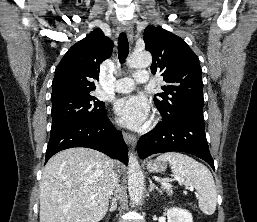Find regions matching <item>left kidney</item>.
I'll return each instance as SVG.
<instances>
[{
  "instance_id": "left-kidney-1",
  "label": "left kidney",
  "mask_w": 257,
  "mask_h": 222,
  "mask_svg": "<svg viewBox=\"0 0 257 222\" xmlns=\"http://www.w3.org/2000/svg\"><path fill=\"white\" fill-rule=\"evenodd\" d=\"M167 210L168 222H193L192 214L181 208H171Z\"/></svg>"
}]
</instances>
